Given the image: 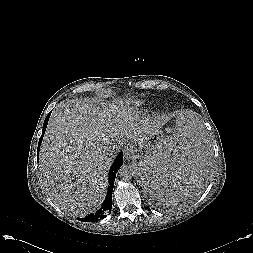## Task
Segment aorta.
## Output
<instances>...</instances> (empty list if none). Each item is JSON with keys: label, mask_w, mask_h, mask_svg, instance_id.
<instances>
[{"label": "aorta", "mask_w": 253, "mask_h": 253, "mask_svg": "<svg viewBox=\"0 0 253 253\" xmlns=\"http://www.w3.org/2000/svg\"><path fill=\"white\" fill-rule=\"evenodd\" d=\"M135 174V170L131 165H122L118 171V175L122 180H130Z\"/></svg>", "instance_id": "obj_1"}]
</instances>
